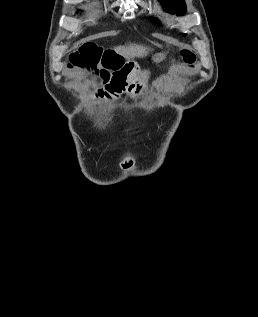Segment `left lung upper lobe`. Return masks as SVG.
<instances>
[{
  "instance_id": "1",
  "label": "left lung upper lobe",
  "mask_w": 258,
  "mask_h": 317,
  "mask_svg": "<svg viewBox=\"0 0 258 317\" xmlns=\"http://www.w3.org/2000/svg\"><path fill=\"white\" fill-rule=\"evenodd\" d=\"M164 10L177 15H183L186 11V5L183 0H163Z\"/></svg>"
}]
</instances>
